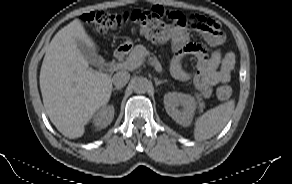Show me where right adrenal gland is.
Returning a JSON list of instances; mask_svg holds the SVG:
<instances>
[{
  "mask_svg": "<svg viewBox=\"0 0 292 184\" xmlns=\"http://www.w3.org/2000/svg\"><path fill=\"white\" fill-rule=\"evenodd\" d=\"M113 91L117 90V91H122V89L120 87H115L112 89Z\"/></svg>",
  "mask_w": 292,
  "mask_h": 184,
  "instance_id": "2a0ac1e0",
  "label": "right adrenal gland"
}]
</instances>
